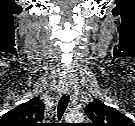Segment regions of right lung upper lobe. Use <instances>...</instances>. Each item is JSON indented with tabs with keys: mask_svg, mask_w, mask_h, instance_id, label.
Listing matches in <instances>:
<instances>
[{
	"mask_svg": "<svg viewBox=\"0 0 135 126\" xmlns=\"http://www.w3.org/2000/svg\"><path fill=\"white\" fill-rule=\"evenodd\" d=\"M43 119L44 103L34 97L4 114L0 126H40Z\"/></svg>",
	"mask_w": 135,
	"mask_h": 126,
	"instance_id": "cb5924a9",
	"label": "right lung upper lobe"
}]
</instances>
